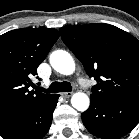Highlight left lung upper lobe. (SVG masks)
<instances>
[{
    "label": "left lung upper lobe",
    "mask_w": 139,
    "mask_h": 139,
    "mask_svg": "<svg viewBox=\"0 0 139 139\" xmlns=\"http://www.w3.org/2000/svg\"><path fill=\"white\" fill-rule=\"evenodd\" d=\"M66 46L82 62L97 84L93 97L111 103L139 96V41L109 24L62 27Z\"/></svg>",
    "instance_id": "5c2ea615"
}]
</instances>
